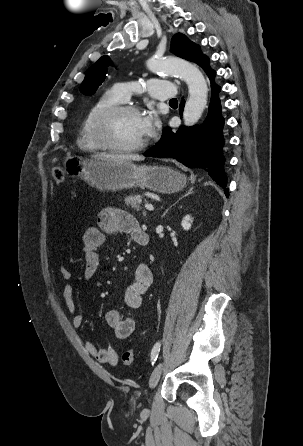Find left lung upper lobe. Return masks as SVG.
<instances>
[{
	"mask_svg": "<svg viewBox=\"0 0 303 446\" xmlns=\"http://www.w3.org/2000/svg\"><path fill=\"white\" fill-rule=\"evenodd\" d=\"M171 52L178 57L195 62L200 66L208 59L201 53L200 47L197 44L191 42L181 33L173 36ZM110 64L111 61L107 56H103L95 62L87 71L85 79L80 86V92L85 95L93 94L106 78L107 65Z\"/></svg>",
	"mask_w": 303,
	"mask_h": 446,
	"instance_id": "1",
	"label": "left lung upper lobe"
}]
</instances>
